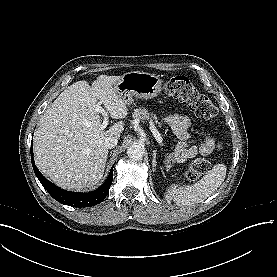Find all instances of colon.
<instances>
[{
  "mask_svg": "<svg viewBox=\"0 0 277 277\" xmlns=\"http://www.w3.org/2000/svg\"><path fill=\"white\" fill-rule=\"evenodd\" d=\"M165 94L168 97L179 98L185 101L194 113L202 119L208 120L216 117L218 110L213 102L200 93L186 76L169 79L165 84ZM210 169V163L202 158L195 159L187 173L188 181H196Z\"/></svg>",
  "mask_w": 277,
  "mask_h": 277,
  "instance_id": "colon-1",
  "label": "colon"
}]
</instances>
